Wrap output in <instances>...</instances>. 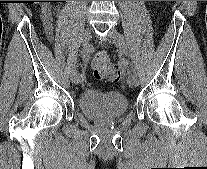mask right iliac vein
Here are the masks:
<instances>
[{
	"label": "right iliac vein",
	"mask_w": 207,
	"mask_h": 169,
	"mask_svg": "<svg viewBox=\"0 0 207 169\" xmlns=\"http://www.w3.org/2000/svg\"><path fill=\"white\" fill-rule=\"evenodd\" d=\"M91 38V29L90 28H86L83 33H82V38H81V42H82V47L85 48L87 47L89 40ZM70 80L72 83L76 84L78 83V74H77V69L76 67H73L70 71Z\"/></svg>",
	"instance_id": "63e3f726"
}]
</instances>
